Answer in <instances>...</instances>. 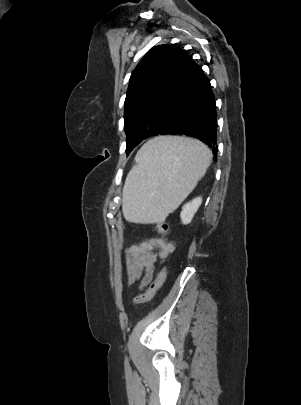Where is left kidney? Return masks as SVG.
Returning a JSON list of instances; mask_svg holds the SVG:
<instances>
[{"label": "left kidney", "instance_id": "obj_1", "mask_svg": "<svg viewBox=\"0 0 301 405\" xmlns=\"http://www.w3.org/2000/svg\"><path fill=\"white\" fill-rule=\"evenodd\" d=\"M202 203V198L197 197L191 200L190 202H187L186 204L183 205L182 211L180 213V218L183 224H189L195 213L197 212L198 208L200 207Z\"/></svg>", "mask_w": 301, "mask_h": 405}]
</instances>
